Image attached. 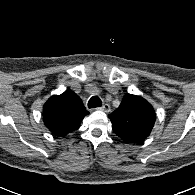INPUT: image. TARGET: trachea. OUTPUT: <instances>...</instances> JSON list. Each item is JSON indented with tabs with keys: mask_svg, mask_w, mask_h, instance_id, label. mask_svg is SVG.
I'll return each instance as SVG.
<instances>
[{
	"mask_svg": "<svg viewBox=\"0 0 195 195\" xmlns=\"http://www.w3.org/2000/svg\"><path fill=\"white\" fill-rule=\"evenodd\" d=\"M101 106H102V102L98 96H93L88 101V108H96Z\"/></svg>",
	"mask_w": 195,
	"mask_h": 195,
	"instance_id": "obj_1",
	"label": "trachea"
}]
</instances>
